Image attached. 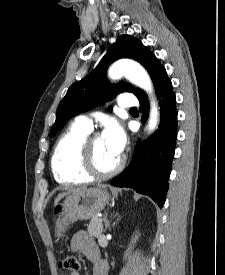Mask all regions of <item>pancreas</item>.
Returning a JSON list of instances; mask_svg holds the SVG:
<instances>
[{
  "mask_svg": "<svg viewBox=\"0 0 225 275\" xmlns=\"http://www.w3.org/2000/svg\"><path fill=\"white\" fill-rule=\"evenodd\" d=\"M87 232L90 236L99 238L103 232L102 221L98 216H94L91 218V221L88 225Z\"/></svg>",
  "mask_w": 225,
  "mask_h": 275,
  "instance_id": "pancreas-1",
  "label": "pancreas"
}]
</instances>
